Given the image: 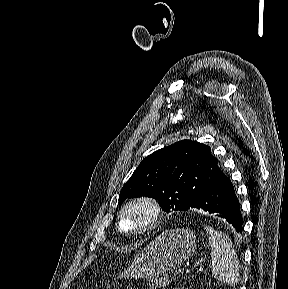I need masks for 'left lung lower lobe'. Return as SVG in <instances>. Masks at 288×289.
<instances>
[{
    "label": "left lung lower lobe",
    "mask_w": 288,
    "mask_h": 289,
    "mask_svg": "<svg viewBox=\"0 0 288 289\" xmlns=\"http://www.w3.org/2000/svg\"><path fill=\"white\" fill-rule=\"evenodd\" d=\"M190 208L203 209L224 218L242 233V215L239 200L229 178L221 173L190 205ZM187 209V210H188Z\"/></svg>",
    "instance_id": "0a47b994"
}]
</instances>
